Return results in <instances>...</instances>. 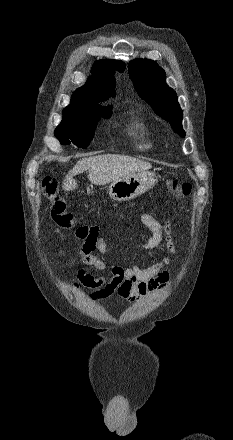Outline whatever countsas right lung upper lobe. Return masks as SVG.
I'll return each mask as SVG.
<instances>
[{"instance_id":"cb5924a9","label":"right lung upper lobe","mask_w":233,"mask_h":440,"mask_svg":"<svg viewBox=\"0 0 233 440\" xmlns=\"http://www.w3.org/2000/svg\"><path fill=\"white\" fill-rule=\"evenodd\" d=\"M125 64L120 60H99L93 68L86 84L78 88L71 99L69 107H100L112 109V106L102 107L99 103L115 96V70L123 72Z\"/></svg>"}]
</instances>
